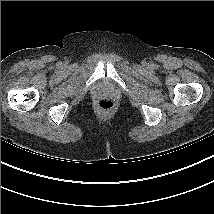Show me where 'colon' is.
<instances>
[{
  "label": "colon",
  "instance_id": "1",
  "mask_svg": "<svg viewBox=\"0 0 214 214\" xmlns=\"http://www.w3.org/2000/svg\"><path fill=\"white\" fill-rule=\"evenodd\" d=\"M98 106L103 111H108L114 106V102L111 99L103 98L98 101Z\"/></svg>",
  "mask_w": 214,
  "mask_h": 214
}]
</instances>
